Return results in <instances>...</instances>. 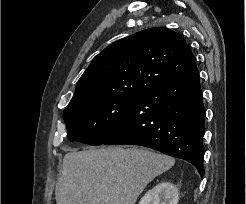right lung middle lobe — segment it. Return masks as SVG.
Instances as JSON below:
<instances>
[{
    "label": "right lung middle lobe",
    "instance_id": "obj_1",
    "mask_svg": "<svg viewBox=\"0 0 246 204\" xmlns=\"http://www.w3.org/2000/svg\"><path fill=\"white\" fill-rule=\"evenodd\" d=\"M139 95H106L67 106L63 117L68 139L90 145L103 144L122 126Z\"/></svg>",
    "mask_w": 246,
    "mask_h": 204
}]
</instances>
